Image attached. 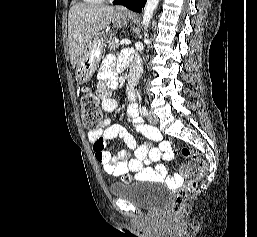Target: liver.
<instances>
[{"label": "liver", "mask_w": 257, "mask_h": 237, "mask_svg": "<svg viewBox=\"0 0 257 237\" xmlns=\"http://www.w3.org/2000/svg\"><path fill=\"white\" fill-rule=\"evenodd\" d=\"M114 15L113 7L76 3L68 14L70 62L75 68L88 42L105 29Z\"/></svg>", "instance_id": "1"}]
</instances>
